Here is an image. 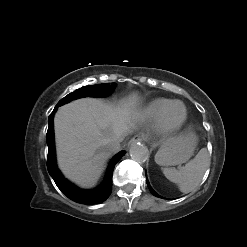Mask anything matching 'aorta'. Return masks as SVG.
<instances>
[{
  "label": "aorta",
  "mask_w": 247,
  "mask_h": 247,
  "mask_svg": "<svg viewBox=\"0 0 247 247\" xmlns=\"http://www.w3.org/2000/svg\"><path fill=\"white\" fill-rule=\"evenodd\" d=\"M129 153L131 158L137 162H145L148 158V151L141 143L132 144Z\"/></svg>",
  "instance_id": "aorta-1"
}]
</instances>
